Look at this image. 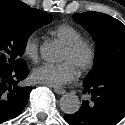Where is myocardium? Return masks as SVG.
<instances>
[{"label": "myocardium", "mask_w": 125, "mask_h": 125, "mask_svg": "<svg viewBox=\"0 0 125 125\" xmlns=\"http://www.w3.org/2000/svg\"><path fill=\"white\" fill-rule=\"evenodd\" d=\"M65 48L71 54H77L81 51H84L86 57L78 69L82 73L91 69L96 57V50L92 42L87 39L80 38L69 44H66Z\"/></svg>", "instance_id": "f54148a6"}]
</instances>
